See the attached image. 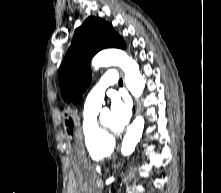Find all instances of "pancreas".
Returning a JSON list of instances; mask_svg holds the SVG:
<instances>
[{"label":"pancreas","instance_id":"pancreas-1","mask_svg":"<svg viewBox=\"0 0 221 193\" xmlns=\"http://www.w3.org/2000/svg\"><path fill=\"white\" fill-rule=\"evenodd\" d=\"M98 182H99V177L96 178V189H97L98 192H100L101 191V186H99Z\"/></svg>","mask_w":221,"mask_h":193}]
</instances>
